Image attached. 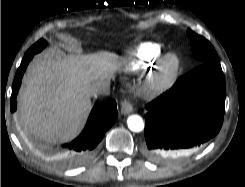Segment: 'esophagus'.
Instances as JSON below:
<instances>
[{"label":"esophagus","mask_w":245,"mask_h":187,"mask_svg":"<svg viewBox=\"0 0 245 187\" xmlns=\"http://www.w3.org/2000/svg\"><path fill=\"white\" fill-rule=\"evenodd\" d=\"M133 111V107L128 100H123L121 102V113L126 115Z\"/></svg>","instance_id":"esophagus-1"}]
</instances>
